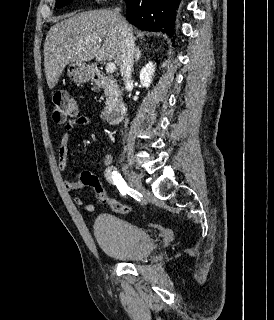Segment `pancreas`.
Segmentation results:
<instances>
[{"label": "pancreas", "mask_w": 274, "mask_h": 320, "mask_svg": "<svg viewBox=\"0 0 274 320\" xmlns=\"http://www.w3.org/2000/svg\"><path fill=\"white\" fill-rule=\"evenodd\" d=\"M104 94L106 96V108H110V106H113V104H117V102H120L121 100V94L118 92V88L116 86H112V84H109V86H106L104 90Z\"/></svg>", "instance_id": "obj_1"}]
</instances>
